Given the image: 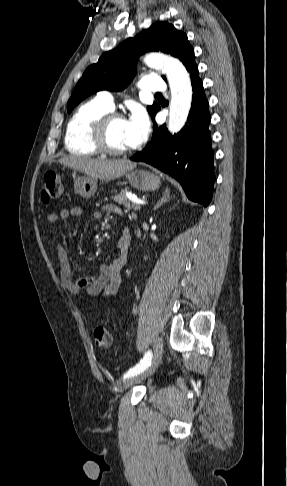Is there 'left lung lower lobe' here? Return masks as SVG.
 Here are the masks:
<instances>
[{
    "label": "left lung lower lobe",
    "instance_id": "1",
    "mask_svg": "<svg viewBox=\"0 0 287 486\" xmlns=\"http://www.w3.org/2000/svg\"><path fill=\"white\" fill-rule=\"evenodd\" d=\"M185 67L193 90L187 123L178 134L171 136L165 125L158 127L154 122L151 141L131 160L148 163L171 175L181 183L190 200L207 206L212 199L215 180L208 129L211 116L194 57Z\"/></svg>",
    "mask_w": 287,
    "mask_h": 486
}]
</instances>
